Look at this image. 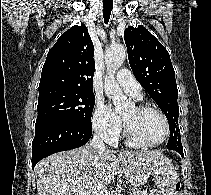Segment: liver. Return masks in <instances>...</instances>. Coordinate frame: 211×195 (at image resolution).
<instances>
[{
	"instance_id": "6515ba94",
	"label": "liver",
	"mask_w": 211,
	"mask_h": 195,
	"mask_svg": "<svg viewBox=\"0 0 211 195\" xmlns=\"http://www.w3.org/2000/svg\"><path fill=\"white\" fill-rule=\"evenodd\" d=\"M118 156L90 145L50 155L35 167L38 195H93L97 180L109 184L121 171L119 162L128 180L131 172L148 170L155 160L166 159L160 151H124Z\"/></svg>"
}]
</instances>
